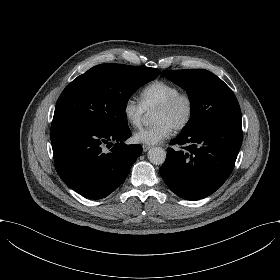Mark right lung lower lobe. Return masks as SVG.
<instances>
[{"label": "right lung lower lobe", "instance_id": "obj_1", "mask_svg": "<svg viewBox=\"0 0 280 280\" xmlns=\"http://www.w3.org/2000/svg\"><path fill=\"white\" fill-rule=\"evenodd\" d=\"M51 143L55 168L74 191L90 199H101L117 189L142 153L138 144L126 145L127 127L101 130L73 121L52 122ZM114 146L104 153V146Z\"/></svg>", "mask_w": 280, "mask_h": 280}]
</instances>
